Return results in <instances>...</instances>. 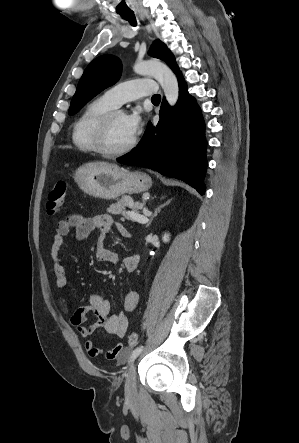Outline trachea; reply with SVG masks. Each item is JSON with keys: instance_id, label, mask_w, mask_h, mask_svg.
Wrapping results in <instances>:
<instances>
[{"instance_id": "1", "label": "trachea", "mask_w": 299, "mask_h": 443, "mask_svg": "<svg viewBox=\"0 0 299 443\" xmlns=\"http://www.w3.org/2000/svg\"><path fill=\"white\" fill-rule=\"evenodd\" d=\"M124 18L132 25V26H136L137 22L135 19L134 14L131 13H124L123 14ZM153 102H160L161 100V95L160 94H156L152 97L151 99Z\"/></svg>"}]
</instances>
